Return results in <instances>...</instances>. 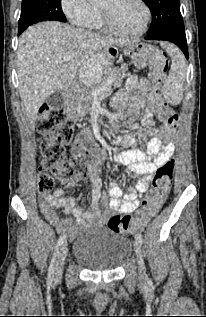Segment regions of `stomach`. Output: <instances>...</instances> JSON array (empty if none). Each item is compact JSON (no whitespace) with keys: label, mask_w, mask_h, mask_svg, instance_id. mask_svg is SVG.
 <instances>
[{"label":"stomach","mask_w":206,"mask_h":317,"mask_svg":"<svg viewBox=\"0 0 206 317\" xmlns=\"http://www.w3.org/2000/svg\"><path fill=\"white\" fill-rule=\"evenodd\" d=\"M152 48L143 43H131L124 49V54L130 59V66H144L151 57ZM114 65V56L107 54L91 55V59H82V67H77L76 83L80 87L101 82L100 74L110 71Z\"/></svg>","instance_id":"0dacf381"}]
</instances>
